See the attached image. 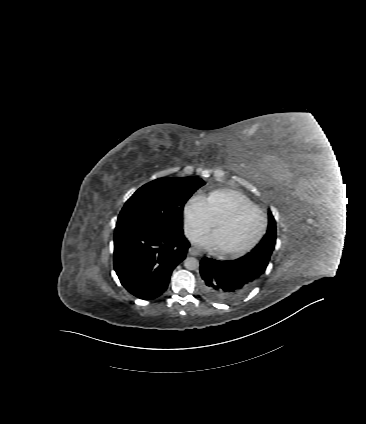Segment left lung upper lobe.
Here are the masks:
<instances>
[{"label":"left lung upper lobe","instance_id":"5c2ea615","mask_svg":"<svg viewBox=\"0 0 366 424\" xmlns=\"http://www.w3.org/2000/svg\"><path fill=\"white\" fill-rule=\"evenodd\" d=\"M268 216L269 223L267 233L262 238L261 242L250 253H248V255L254 258H260L266 264L269 263L276 243V222L270 211L268 212Z\"/></svg>","mask_w":366,"mask_h":424}]
</instances>
